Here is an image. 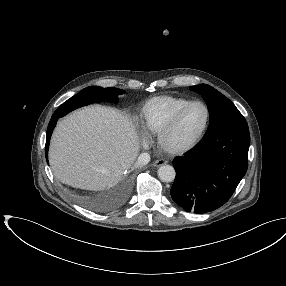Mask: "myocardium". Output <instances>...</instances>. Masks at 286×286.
I'll list each match as a JSON object with an SVG mask.
<instances>
[{
  "instance_id": "1",
  "label": "myocardium",
  "mask_w": 286,
  "mask_h": 286,
  "mask_svg": "<svg viewBox=\"0 0 286 286\" xmlns=\"http://www.w3.org/2000/svg\"><path fill=\"white\" fill-rule=\"evenodd\" d=\"M202 105L206 111V122L204 125L203 130L198 135L197 138H195L191 143L188 145L182 146V147H170L166 143V137L167 135L173 130V128L178 124L182 116L185 114V112L194 105ZM211 123V111L208 107V105L200 100L191 101L185 106H183L181 109H179L173 117L161 128V130L158 133V145L159 147L166 153L172 154V155H181L184 153H187L194 149L206 136L209 127Z\"/></svg>"
}]
</instances>
